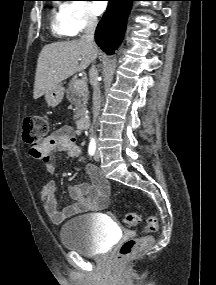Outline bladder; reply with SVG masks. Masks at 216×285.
Returning <instances> with one entry per match:
<instances>
[{
	"mask_svg": "<svg viewBox=\"0 0 216 285\" xmlns=\"http://www.w3.org/2000/svg\"><path fill=\"white\" fill-rule=\"evenodd\" d=\"M117 231L96 215H81L64 223L60 240L64 248L82 255L98 256L106 253L116 239Z\"/></svg>",
	"mask_w": 216,
	"mask_h": 285,
	"instance_id": "obj_1",
	"label": "bladder"
}]
</instances>
